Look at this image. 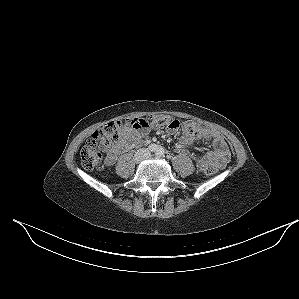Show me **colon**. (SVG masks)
Masks as SVG:
<instances>
[{
	"label": "colon",
	"instance_id": "colon-1",
	"mask_svg": "<svg viewBox=\"0 0 299 299\" xmlns=\"http://www.w3.org/2000/svg\"><path fill=\"white\" fill-rule=\"evenodd\" d=\"M150 128H166L175 132L180 128V122L170 116L153 114L144 118H136L129 121H111L95 131L85 143L80 152L81 164L87 169L98 166L102 158V150L119 141L125 131L145 132ZM186 136L195 137L199 128L193 121H187L183 125ZM204 173L212 175L218 171L215 165H207L203 168Z\"/></svg>",
	"mask_w": 299,
	"mask_h": 299
}]
</instances>
